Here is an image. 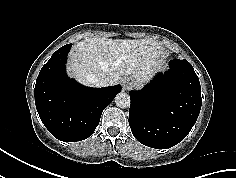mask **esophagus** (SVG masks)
Instances as JSON below:
<instances>
[{
    "label": "esophagus",
    "mask_w": 236,
    "mask_h": 178,
    "mask_svg": "<svg viewBox=\"0 0 236 178\" xmlns=\"http://www.w3.org/2000/svg\"><path fill=\"white\" fill-rule=\"evenodd\" d=\"M134 82V79L132 77H124L121 80L122 86L124 89H127L130 85H132Z\"/></svg>",
    "instance_id": "34e87169"
}]
</instances>
